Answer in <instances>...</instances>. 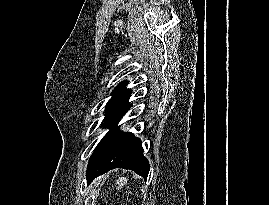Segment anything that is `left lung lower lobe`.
Returning <instances> with one entry per match:
<instances>
[{"mask_svg": "<svg viewBox=\"0 0 269 205\" xmlns=\"http://www.w3.org/2000/svg\"><path fill=\"white\" fill-rule=\"evenodd\" d=\"M131 106L129 105L103 125V127H109L110 131L102 138L89 159L86 171L88 184L99 175L115 168L130 169L145 180L147 179L150 166L143 155L141 140L130 132L117 131L118 121Z\"/></svg>", "mask_w": 269, "mask_h": 205, "instance_id": "0a47b994", "label": "left lung lower lobe"}]
</instances>
